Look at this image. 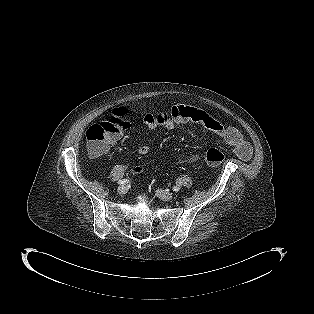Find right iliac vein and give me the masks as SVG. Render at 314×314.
<instances>
[{
    "mask_svg": "<svg viewBox=\"0 0 314 314\" xmlns=\"http://www.w3.org/2000/svg\"><path fill=\"white\" fill-rule=\"evenodd\" d=\"M117 191L119 194H125L127 192V186L121 185L118 187Z\"/></svg>",
    "mask_w": 314,
    "mask_h": 314,
    "instance_id": "obj_1",
    "label": "right iliac vein"
}]
</instances>
